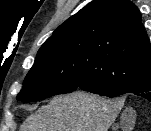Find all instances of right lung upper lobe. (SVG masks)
Segmentation results:
<instances>
[{
	"label": "right lung upper lobe",
	"instance_id": "cb5924a9",
	"mask_svg": "<svg viewBox=\"0 0 151 131\" xmlns=\"http://www.w3.org/2000/svg\"><path fill=\"white\" fill-rule=\"evenodd\" d=\"M74 43L94 58L111 87L151 83V44L129 0H93L61 24L40 49Z\"/></svg>",
	"mask_w": 151,
	"mask_h": 131
}]
</instances>
